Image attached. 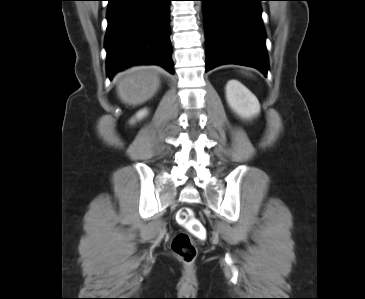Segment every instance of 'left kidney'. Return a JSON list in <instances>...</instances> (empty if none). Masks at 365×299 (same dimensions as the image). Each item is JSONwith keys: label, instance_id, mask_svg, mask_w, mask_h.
I'll return each instance as SVG.
<instances>
[{"label": "left kidney", "instance_id": "5707ae66", "mask_svg": "<svg viewBox=\"0 0 365 299\" xmlns=\"http://www.w3.org/2000/svg\"><path fill=\"white\" fill-rule=\"evenodd\" d=\"M226 100L241 118L250 119L260 113V105L255 95L237 80L228 81Z\"/></svg>", "mask_w": 365, "mask_h": 299}]
</instances>
